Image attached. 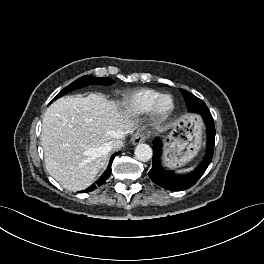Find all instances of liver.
I'll return each instance as SVG.
<instances>
[{
    "label": "liver",
    "instance_id": "obj_1",
    "mask_svg": "<svg viewBox=\"0 0 264 264\" xmlns=\"http://www.w3.org/2000/svg\"><path fill=\"white\" fill-rule=\"evenodd\" d=\"M134 124L129 110L97 94L56 100L42 122L48 173L70 191L85 189L106 164L109 142L124 139Z\"/></svg>",
    "mask_w": 264,
    "mask_h": 264
}]
</instances>
